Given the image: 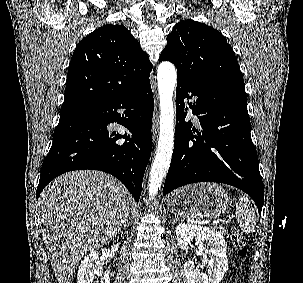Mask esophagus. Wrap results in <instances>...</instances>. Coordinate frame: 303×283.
I'll list each match as a JSON object with an SVG mask.
<instances>
[{
    "instance_id": "1",
    "label": "esophagus",
    "mask_w": 303,
    "mask_h": 283,
    "mask_svg": "<svg viewBox=\"0 0 303 283\" xmlns=\"http://www.w3.org/2000/svg\"><path fill=\"white\" fill-rule=\"evenodd\" d=\"M157 129H158V115L155 114L153 118V125H152L153 141L155 140Z\"/></svg>"
}]
</instances>
